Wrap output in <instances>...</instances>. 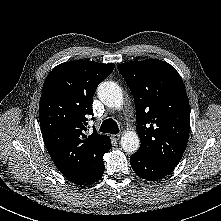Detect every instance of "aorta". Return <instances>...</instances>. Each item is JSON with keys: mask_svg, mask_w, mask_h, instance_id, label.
<instances>
[{"mask_svg": "<svg viewBox=\"0 0 221 221\" xmlns=\"http://www.w3.org/2000/svg\"><path fill=\"white\" fill-rule=\"evenodd\" d=\"M97 95L101 102L111 108L119 109L123 105V93L120 86L113 81H104L97 88ZM121 147L127 153L138 150L140 140L136 132L126 131L121 137Z\"/></svg>", "mask_w": 221, "mask_h": 221, "instance_id": "762f6f07", "label": "aorta"}]
</instances>
